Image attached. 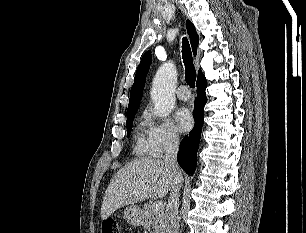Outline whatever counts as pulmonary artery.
<instances>
[{"mask_svg":"<svg viewBox=\"0 0 306 233\" xmlns=\"http://www.w3.org/2000/svg\"><path fill=\"white\" fill-rule=\"evenodd\" d=\"M176 96L181 101H188L191 98V94L185 85H181L176 90Z\"/></svg>","mask_w":306,"mask_h":233,"instance_id":"e3ab8cb5","label":"pulmonary artery"}]
</instances>
